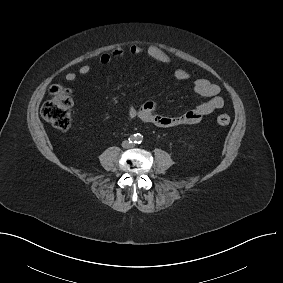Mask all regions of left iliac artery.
Instances as JSON below:
<instances>
[{
	"label": "left iliac artery",
	"instance_id": "1",
	"mask_svg": "<svg viewBox=\"0 0 283 283\" xmlns=\"http://www.w3.org/2000/svg\"><path fill=\"white\" fill-rule=\"evenodd\" d=\"M141 142H142V136L139 135V137H138V143H141Z\"/></svg>",
	"mask_w": 283,
	"mask_h": 283
}]
</instances>
